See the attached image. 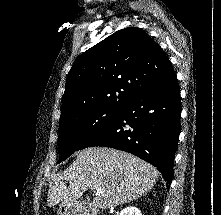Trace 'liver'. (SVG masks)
Segmentation results:
<instances>
[{
    "mask_svg": "<svg viewBox=\"0 0 221 215\" xmlns=\"http://www.w3.org/2000/svg\"><path fill=\"white\" fill-rule=\"evenodd\" d=\"M157 178L155 167L132 154L112 148H86L64 172L52 178L47 205L73 203L87 189H101L103 193L95 194L93 206L114 208L146 195ZM64 181L69 182L68 187Z\"/></svg>",
    "mask_w": 221,
    "mask_h": 215,
    "instance_id": "obj_1",
    "label": "liver"
}]
</instances>
